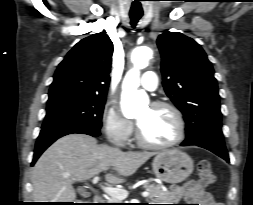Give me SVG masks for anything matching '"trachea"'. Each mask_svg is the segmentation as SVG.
<instances>
[{"label":"trachea","mask_w":253,"mask_h":205,"mask_svg":"<svg viewBox=\"0 0 253 205\" xmlns=\"http://www.w3.org/2000/svg\"><path fill=\"white\" fill-rule=\"evenodd\" d=\"M141 17V13H130L131 25L135 27Z\"/></svg>","instance_id":"trachea-1"}]
</instances>
